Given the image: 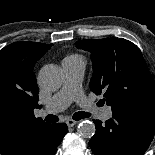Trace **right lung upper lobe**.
Segmentation results:
<instances>
[{
  "instance_id": "1",
  "label": "right lung upper lobe",
  "mask_w": 155,
  "mask_h": 155,
  "mask_svg": "<svg viewBox=\"0 0 155 155\" xmlns=\"http://www.w3.org/2000/svg\"><path fill=\"white\" fill-rule=\"evenodd\" d=\"M52 44L15 42L0 50V154L32 155L50 126L35 118L38 86L35 63Z\"/></svg>"
}]
</instances>
